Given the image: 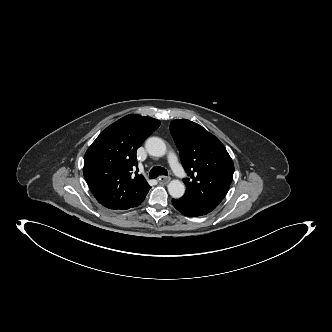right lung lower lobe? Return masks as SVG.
I'll return each instance as SVG.
<instances>
[{
	"label": "right lung lower lobe",
	"instance_id": "obj_1",
	"mask_svg": "<svg viewBox=\"0 0 332 332\" xmlns=\"http://www.w3.org/2000/svg\"><path fill=\"white\" fill-rule=\"evenodd\" d=\"M145 199V197L140 201V202H138V203H136L135 205H133L131 208H133V207H136V206H138V205H140L142 202H143V200Z\"/></svg>",
	"mask_w": 332,
	"mask_h": 332
}]
</instances>
